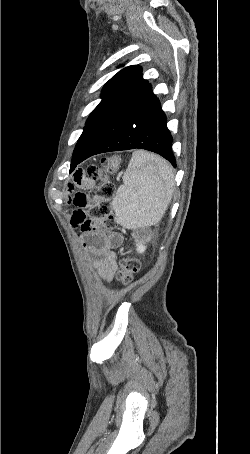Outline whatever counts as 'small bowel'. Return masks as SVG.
Instances as JSON below:
<instances>
[{
  "label": "small bowel",
  "mask_w": 250,
  "mask_h": 454,
  "mask_svg": "<svg viewBox=\"0 0 250 454\" xmlns=\"http://www.w3.org/2000/svg\"><path fill=\"white\" fill-rule=\"evenodd\" d=\"M74 186L85 191L93 187V181L87 178L83 171H75L71 188ZM75 210L71 215L73 227H80L81 242L92 255L94 267L105 280H111L117 270V257L113 249L119 247L123 237L118 232L94 230V223L87 217L85 208L88 197L82 192H76L70 198Z\"/></svg>",
  "instance_id": "small-bowel-1"
}]
</instances>
